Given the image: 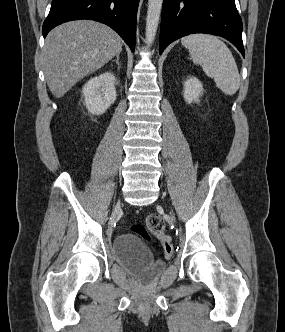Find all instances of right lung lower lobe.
I'll return each instance as SVG.
<instances>
[{
	"mask_svg": "<svg viewBox=\"0 0 285 332\" xmlns=\"http://www.w3.org/2000/svg\"><path fill=\"white\" fill-rule=\"evenodd\" d=\"M138 3L139 0H52L43 36L64 22L91 19L114 29L134 52Z\"/></svg>",
	"mask_w": 285,
	"mask_h": 332,
	"instance_id": "98d812e1",
	"label": "right lung lower lobe"
}]
</instances>
